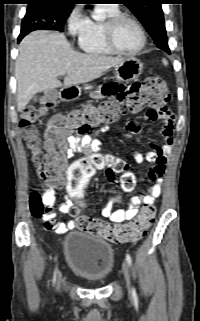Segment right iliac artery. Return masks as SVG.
I'll return each instance as SVG.
<instances>
[{"mask_svg": "<svg viewBox=\"0 0 200 321\" xmlns=\"http://www.w3.org/2000/svg\"><path fill=\"white\" fill-rule=\"evenodd\" d=\"M56 274H57V268H56V270H55V272H54L53 284H55V282H56Z\"/></svg>", "mask_w": 200, "mask_h": 321, "instance_id": "obj_1", "label": "right iliac artery"}]
</instances>
